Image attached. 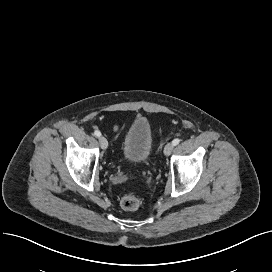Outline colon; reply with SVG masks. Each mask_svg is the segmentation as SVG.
<instances>
[{
	"instance_id": "1",
	"label": "colon",
	"mask_w": 272,
	"mask_h": 272,
	"mask_svg": "<svg viewBox=\"0 0 272 272\" xmlns=\"http://www.w3.org/2000/svg\"><path fill=\"white\" fill-rule=\"evenodd\" d=\"M140 198L134 194L124 195L120 199V207L125 211H135L140 206Z\"/></svg>"
}]
</instances>
